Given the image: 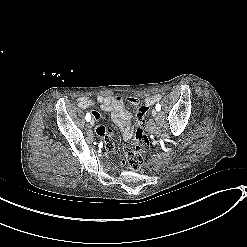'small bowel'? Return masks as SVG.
I'll list each match as a JSON object with an SVG mask.
<instances>
[{
  "instance_id": "small-bowel-1",
  "label": "small bowel",
  "mask_w": 247,
  "mask_h": 247,
  "mask_svg": "<svg viewBox=\"0 0 247 247\" xmlns=\"http://www.w3.org/2000/svg\"><path fill=\"white\" fill-rule=\"evenodd\" d=\"M161 95H153L145 99V102L148 105H152L156 102H159ZM128 103L133 106L138 105L139 100L136 97H128ZM78 106L81 109H88L97 103L100 109L104 112H108L111 115L112 120L118 125L121 130L122 136L124 139H129L132 136V128L129 123L131 117V112L125 107L124 101L120 96H103L98 95L95 99H92L87 96H81L77 98ZM90 115L95 119L101 120L103 115L97 110H92ZM95 119V120H96ZM96 134L100 138H104L105 144L104 147L106 150L111 151L114 149L115 144V133L113 130H106L105 126L99 124L95 128Z\"/></svg>"
}]
</instances>
